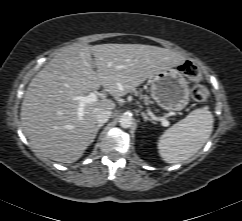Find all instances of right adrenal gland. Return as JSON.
<instances>
[{
  "mask_svg": "<svg viewBox=\"0 0 242 221\" xmlns=\"http://www.w3.org/2000/svg\"><path fill=\"white\" fill-rule=\"evenodd\" d=\"M104 124H98L97 127H96V130H95V133H94V137H96L99 129L103 126Z\"/></svg>",
  "mask_w": 242,
  "mask_h": 221,
  "instance_id": "1",
  "label": "right adrenal gland"
}]
</instances>
